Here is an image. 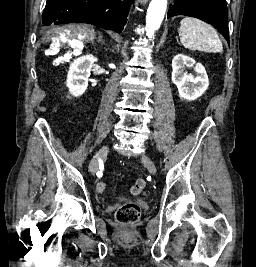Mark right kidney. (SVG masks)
I'll return each mask as SVG.
<instances>
[{
  "label": "right kidney",
  "instance_id": "obj_1",
  "mask_svg": "<svg viewBox=\"0 0 256 267\" xmlns=\"http://www.w3.org/2000/svg\"><path fill=\"white\" fill-rule=\"evenodd\" d=\"M96 62L94 56H81L72 62L67 74L66 86L72 96H82L87 90L91 68Z\"/></svg>",
  "mask_w": 256,
  "mask_h": 267
}]
</instances>
